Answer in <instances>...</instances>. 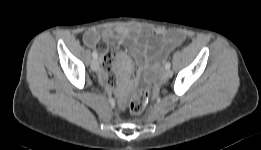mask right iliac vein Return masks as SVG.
<instances>
[{"label":"right iliac vein","mask_w":261,"mask_h":150,"mask_svg":"<svg viewBox=\"0 0 261 150\" xmlns=\"http://www.w3.org/2000/svg\"><path fill=\"white\" fill-rule=\"evenodd\" d=\"M91 69L95 72H97L99 70V62L97 59L92 60Z\"/></svg>","instance_id":"63e3f726"}]
</instances>
